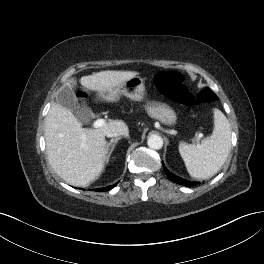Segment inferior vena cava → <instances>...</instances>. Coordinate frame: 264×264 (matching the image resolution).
<instances>
[{"instance_id":"obj_1","label":"inferior vena cava","mask_w":264,"mask_h":264,"mask_svg":"<svg viewBox=\"0 0 264 264\" xmlns=\"http://www.w3.org/2000/svg\"><path fill=\"white\" fill-rule=\"evenodd\" d=\"M121 135H124V136H128V133L125 132V131H110L107 133V137H117V136H121Z\"/></svg>"}]
</instances>
